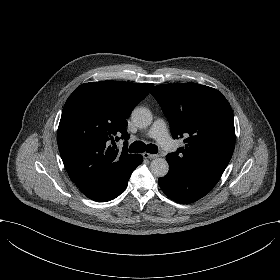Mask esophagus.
I'll list each match as a JSON object with an SVG mask.
<instances>
[{
	"label": "esophagus",
	"instance_id": "1",
	"mask_svg": "<svg viewBox=\"0 0 280 280\" xmlns=\"http://www.w3.org/2000/svg\"><path fill=\"white\" fill-rule=\"evenodd\" d=\"M143 157L145 159H155V158L159 157V155L158 154H150V153L145 152V153H143Z\"/></svg>",
	"mask_w": 280,
	"mask_h": 280
}]
</instances>
